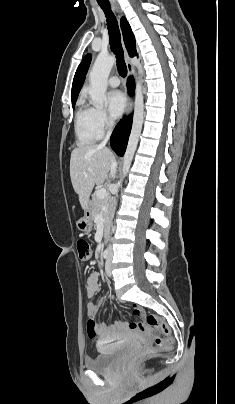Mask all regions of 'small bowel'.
Returning <instances> with one entry per match:
<instances>
[{
  "label": "small bowel",
  "instance_id": "c3829d8e",
  "mask_svg": "<svg viewBox=\"0 0 235 404\" xmlns=\"http://www.w3.org/2000/svg\"><path fill=\"white\" fill-rule=\"evenodd\" d=\"M98 290H99L98 274L91 273L87 278L86 294L88 297H93L98 292ZM103 302L104 300L100 299L95 303H89L87 305V315L89 317L88 331L93 332L95 336H98L100 344L120 340L130 332V329L137 330L135 328H131L130 326L128 327V325L123 322H117L116 324L111 326H107L102 323H95L94 317L96 316Z\"/></svg>",
  "mask_w": 235,
  "mask_h": 404
}]
</instances>
